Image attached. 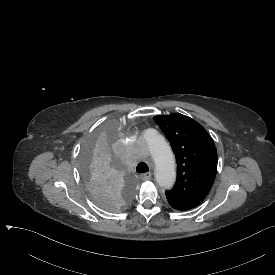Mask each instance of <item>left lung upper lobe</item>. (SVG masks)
<instances>
[{"label":"left lung upper lobe","instance_id":"1","mask_svg":"<svg viewBox=\"0 0 275 275\" xmlns=\"http://www.w3.org/2000/svg\"><path fill=\"white\" fill-rule=\"evenodd\" d=\"M176 156L177 179L166 191L169 204L180 211L198 206L208 195L217 171V150L211 136L192 118L174 113L155 116Z\"/></svg>","mask_w":275,"mask_h":275}]
</instances>
